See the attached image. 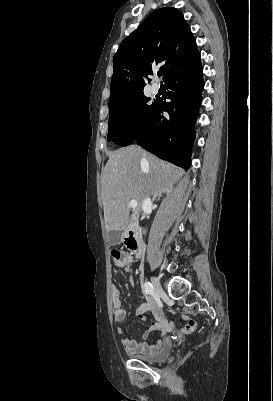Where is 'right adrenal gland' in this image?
<instances>
[{
    "instance_id": "1",
    "label": "right adrenal gland",
    "mask_w": 273,
    "mask_h": 401,
    "mask_svg": "<svg viewBox=\"0 0 273 401\" xmlns=\"http://www.w3.org/2000/svg\"><path fill=\"white\" fill-rule=\"evenodd\" d=\"M156 196H161V194H155V196H153V201H155Z\"/></svg>"
}]
</instances>
